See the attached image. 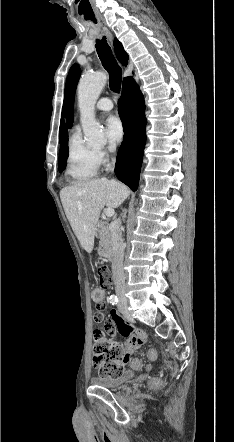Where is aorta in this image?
I'll use <instances>...</instances> for the list:
<instances>
[{"label": "aorta", "mask_w": 234, "mask_h": 442, "mask_svg": "<svg viewBox=\"0 0 234 442\" xmlns=\"http://www.w3.org/2000/svg\"><path fill=\"white\" fill-rule=\"evenodd\" d=\"M107 81L103 72H95L82 76L78 85V105L85 138L90 144L105 142L101 125L94 116V107Z\"/></svg>", "instance_id": "aorta-1"}]
</instances>
